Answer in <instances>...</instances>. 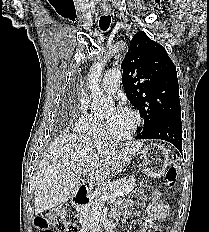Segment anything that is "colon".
<instances>
[{"mask_svg":"<svg viewBox=\"0 0 209 232\" xmlns=\"http://www.w3.org/2000/svg\"><path fill=\"white\" fill-rule=\"evenodd\" d=\"M179 174V164L175 159L173 164L168 168L165 175V184L173 186L176 183ZM34 227L38 232H53L54 228L58 232H76L77 228L66 215L63 208H53L38 214L34 218Z\"/></svg>","mask_w":209,"mask_h":232,"instance_id":"colon-1","label":"colon"}]
</instances>
